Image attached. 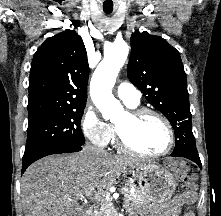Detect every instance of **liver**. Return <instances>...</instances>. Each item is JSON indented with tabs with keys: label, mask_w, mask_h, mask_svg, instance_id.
I'll list each match as a JSON object with an SVG mask.
<instances>
[{
	"label": "liver",
	"mask_w": 221,
	"mask_h": 216,
	"mask_svg": "<svg viewBox=\"0 0 221 216\" xmlns=\"http://www.w3.org/2000/svg\"><path fill=\"white\" fill-rule=\"evenodd\" d=\"M148 164L87 150L42 158L30 165L21 178L25 216H81V194L109 188L122 173Z\"/></svg>",
	"instance_id": "liver-1"
}]
</instances>
